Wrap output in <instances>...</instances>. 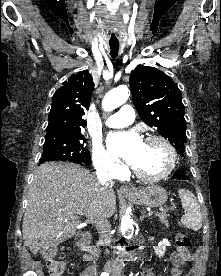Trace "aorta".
Masks as SVG:
<instances>
[{
	"mask_svg": "<svg viewBox=\"0 0 221 276\" xmlns=\"http://www.w3.org/2000/svg\"><path fill=\"white\" fill-rule=\"evenodd\" d=\"M129 90L126 86H120L112 91H109L103 101L102 107L105 111H112L124 104L129 98ZM133 229V220L130 216H123L121 220V232L123 234L130 232ZM129 238V236H128Z\"/></svg>",
	"mask_w": 221,
	"mask_h": 276,
	"instance_id": "aorta-1",
	"label": "aorta"
}]
</instances>
